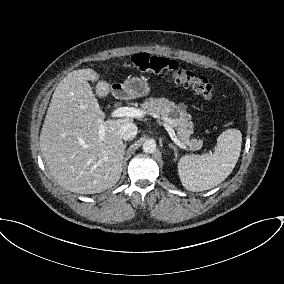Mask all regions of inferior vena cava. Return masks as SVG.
Instances as JSON below:
<instances>
[{
    "label": "inferior vena cava",
    "mask_w": 284,
    "mask_h": 284,
    "mask_svg": "<svg viewBox=\"0 0 284 284\" xmlns=\"http://www.w3.org/2000/svg\"><path fill=\"white\" fill-rule=\"evenodd\" d=\"M138 128L133 122L123 123L120 127V135L124 140H132L137 134Z\"/></svg>",
    "instance_id": "1"
}]
</instances>
